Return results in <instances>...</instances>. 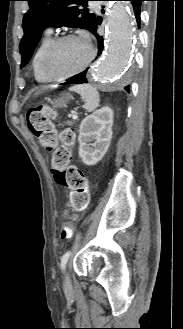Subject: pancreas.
Masks as SVG:
<instances>
[{"mask_svg": "<svg viewBox=\"0 0 183 329\" xmlns=\"http://www.w3.org/2000/svg\"><path fill=\"white\" fill-rule=\"evenodd\" d=\"M67 124L72 126V125H74V122L73 121H68Z\"/></svg>", "mask_w": 183, "mask_h": 329, "instance_id": "1", "label": "pancreas"}]
</instances>
